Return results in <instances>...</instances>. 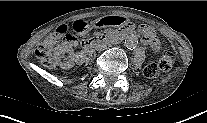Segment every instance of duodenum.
Instances as JSON below:
<instances>
[{
  "instance_id": "duodenum-1",
  "label": "duodenum",
  "mask_w": 207,
  "mask_h": 123,
  "mask_svg": "<svg viewBox=\"0 0 207 123\" xmlns=\"http://www.w3.org/2000/svg\"><path fill=\"white\" fill-rule=\"evenodd\" d=\"M130 31L131 29L122 30L121 32L118 33H108V34L99 35L84 42V46L86 48H92L100 43H114L119 41L126 33Z\"/></svg>"
}]
</instances>
